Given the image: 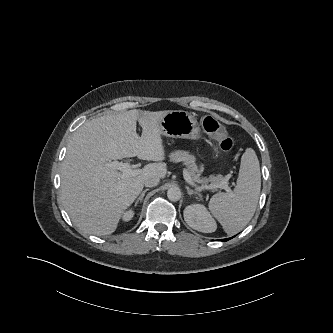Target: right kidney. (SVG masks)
<instances>
[{
    "mask_svg": "<svg viewBox=\"0 0 333 333\" xmlns=\"http://www.w3.org/2000/svg\"><path fill=\"white\" fill-rule=\"evenodd\" d=\"M133 216H134V212L132 210H128L123 213L122 219H123V221L128 222L133 218Z\"/></svg>",
    "mask_w": 333,
    "mask_h": 333,
    "instance_id": "1",
    "label": "right kidney"
}]
</instances>
